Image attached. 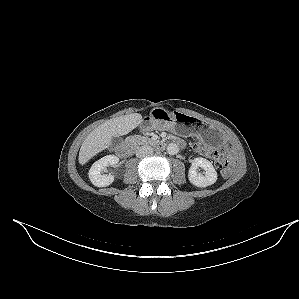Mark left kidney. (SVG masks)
Wrapping results in <instances>:
<instances>
[{
  "label": "left kidney",
  "mask_w": 299,
  "mask_h": 299,
  "mask_svg": "<svg viewBox=\"0 0 299 299\" xmlns=\"http://www.w3.org/2000/svg\"><path fill=\"white\" fill-rule=\"evenodd\" d=\"M205 170L204 175L198 173V168ZM189 181L201 188L214 184L217 180V172L212 163L202 157L194 158L188 173Z\"/></svg>",
  "instance_id": "5707ae66"
}]
</instances>
